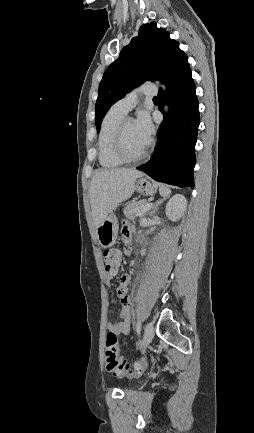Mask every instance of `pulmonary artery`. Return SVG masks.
<instances>
[{"instance_id": "e3ab8cb5", "label": "pulmonary artery", "mask_w": 254, "mask_h": 433, "mask_svg": "<svg viewBox=\"0 0 254 433\" xmlns=\"http://www.w3.org/2000/svg\"><path fill=\"white\" fill-rule=\"evenodd\" d=\"M156 93L157 89L154 85H143L142 87L130 92L125 97L117 101L111 109L126 115L137 104L139 94L151 96L155 95Z\"/></svg>"}]
</instances>
